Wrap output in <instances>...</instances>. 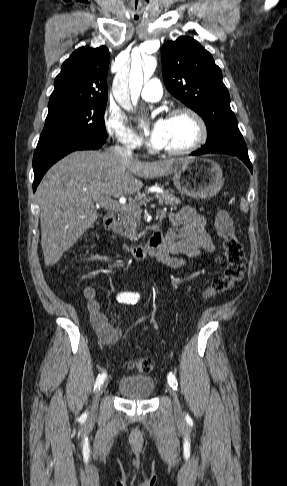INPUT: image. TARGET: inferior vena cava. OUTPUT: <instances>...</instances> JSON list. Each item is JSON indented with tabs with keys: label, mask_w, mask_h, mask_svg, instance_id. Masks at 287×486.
Segmentation results:
<instances>
[{
	"label": "inferior vena cava",
	"mask_w": 287,
	"mask_h": 486,
	"mask_svg": "<svg viewBox=\"0 0 287 486\" xmlns=\"http://www.w3.org/2000/svg\"><path fill=\"white\" fill-rule=\"evenodd\" d=\"M111 150L121 156L122 158L124 159H129L132 157V150H133V147L130 146V145H126V146H119V145H116V146H113L111 147Z\"/></svg>",
	"instance_id": "inferior-vena-cava-1"
}]
</instances>
